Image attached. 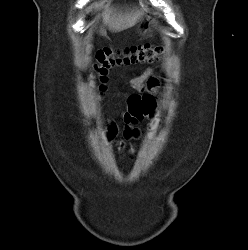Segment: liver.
<instances>
[{"label":"liver","mask_w":248,"mask_h":250,"mask_svg":"<svg viewBox=\"0 0 248 250\" xmlns=\"http://www.w3.org/2000/svg\"><path fill=\"white\" fill-rule=\"evenodd\" d=\"M143 16V11L139 9H133L130 11H119L115 9H106L103 12V23L108 26L112 32H120L124 29L134 26ZM101 35H106V31L101 28Z\"/></svg>","instance_id":"liver-1"}]
</instances>
